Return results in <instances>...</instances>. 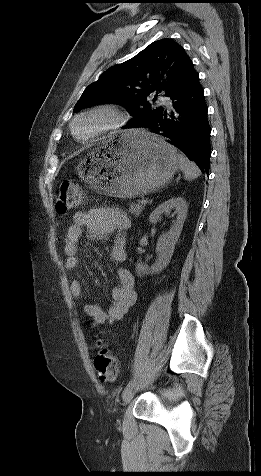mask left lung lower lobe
Instances as JSON below:
<instances>
[{
    "mask_svg": "<svg viewBox=\"0 0 261 476\" xmlns=\"http://www.w3.org/2000/svg\"><path fill=\"white\" fill-rule=\"evenodd\" d=\"M169 97L170 106L141 127L156 130L155 133L164 137L208 174L211 127L204 91L194 67L181 87Z\"/></svg>",
    "mask_w": 261,
    "mask_h": 476,
    "instance_id": "left-lung-lower-lobe-1",
    "label": "left lung lower lobe"
}]
</instances>
